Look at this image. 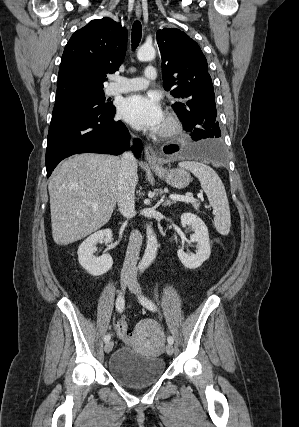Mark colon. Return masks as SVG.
<instances>
[{"label":"colon","mask_w":299,"mask_h":427,"mask_svg":"<svg viewBox=\"0 0 299 427\" xmlns=\"http://www.w3.org/2000/svg\"><path fill=\"white\" fill-rule=\"evenodd\" d=\"M117 333L124 336V337H129L130 332L127 328V324L126 321L124 319L120 320L117 323V327H116Z\"/></svg>","instance_id":"colon-1"}]
</instances>
